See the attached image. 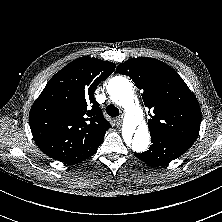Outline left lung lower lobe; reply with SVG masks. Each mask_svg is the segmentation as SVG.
I'll list each match as a JSON object with an SVG mask.
<instances>
[{
    "instance_id": "1",
    "label": "left lung lower lobe",
    "mask_w": 222,
    "mask_h": 222,
    "mask_svg": "<svg viewBox=\"0 0 222 222\" xmlns=\"http://www.w3.org/2000/svg\"><path fill=\"white\" fill-rule=\"evenodd\" d=\"M149 150L143 153H134L137 158L150 165H166L184 154L194 141L165 134H151Z\"/></svg>"
}]
</instances>
